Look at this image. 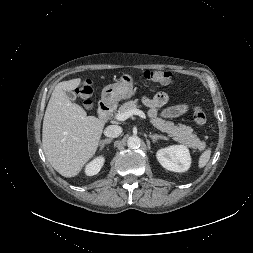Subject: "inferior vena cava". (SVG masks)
Segmentation results:
<instances>
[{
    "mask_svg": "<svg viewBox=\"0 0 253 253\" xmlns=\"http://www.w3.org/2000/svg\"><path fill=\"white\" fill-rule=\"evenodd\" d=\"M122 133V128L118 125H109L104 130V135L109 138L118 137Z\"/></svg>",
    "mask_w": 253,
    "mask_h": 253,
    "instance_id": "obj_1",
    "label": "inferior vena cava"
}]
</instances>
